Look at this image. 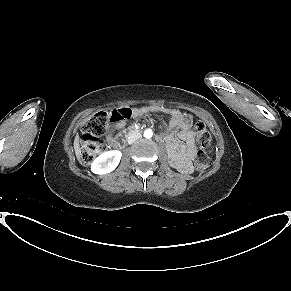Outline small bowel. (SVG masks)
Wrapping results in <instances>:
<instances>
[{
	"label": "small bowel",
	"mask_w": 291,
	"mask_h": 291,
	"mask_svg": "<svg viewBox=\"0 0 291 291\" xmlns=\"http://www.w3.org/2000/svg\"><path fill=\"white\" fill-rule=\"evenodd\" d=\"M149 113H164L168 115V130L163 137L168 145L170 158L179 170L184 173L191 172L192 167L190 161L196 154V140L195 132L193 131L191 124L185 119L184 114L177 109L154 105L135 108L133 109L131 116L133 118H139ZM126 123L127 119L115 121L113 122L112 129H121L126 125ZM176 130L178 131V138L184 142L183 145L179 144L173 136V132ZM106 139L109 145H114L115 137L112 131L107 134Z\"/></svg>",
	"instance_id": "obj_1"
}]
</instances>
